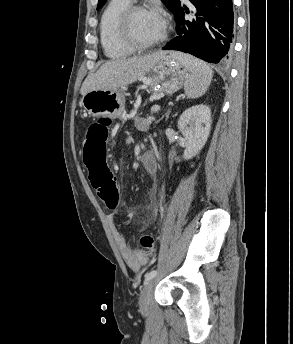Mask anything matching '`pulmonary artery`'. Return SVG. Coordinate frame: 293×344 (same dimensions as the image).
<instances>
[{
    "instance_id": "1",
    "label": "pulmonary artery",
    "mask_w": 293,
    "mask_h": 344,
    "mask_svg": "<svg viewBox=\"0 0 293 344\" xmlns=\"http://www.w3.org/2000/svg\"><path fill=\"white\" fill-rule=\"evenodd\" d=\"M184 2H187L188 0H183Z\"/></svg>"
}]
</instances>
